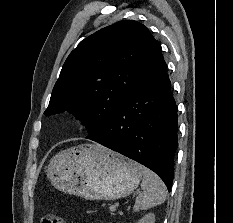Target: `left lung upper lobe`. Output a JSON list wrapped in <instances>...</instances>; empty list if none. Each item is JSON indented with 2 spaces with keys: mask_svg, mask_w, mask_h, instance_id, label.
Returning <instances> with one entry per match:
<instances>
[{
  "mask_svg": "<svg viewBox=\"0 0 233 223\" xmlns=\"http://www.w3.org/2000/svg\"><path fill=\"white\" fill-rule=\"evenodd\" d=\"M160 48L148 28L134 20L100 29L66 59L44 114L68 111L92 138L130 97Z\"/></svg>",
  "mask_w": 233,
  "mask_h": 223,
  "instance_id": "5c2ea615",
  "label": "left lung upper lobe"
}]
</instances>
